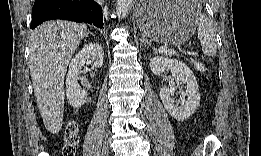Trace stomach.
<instances>
[{
    "mask_svg": "<svg viewBox=\"0 0 261 156\" xmlns=\"http://www.w3.org/2000/svg\"><path fill=\"white\" fill-rule=\"evenodd\" d=\"M199 15L200 8L194 2L144 1L135 10L137 24L148 39L171 45L192 37Z\"/></svg>",
    "mask_w": 261,
    "mask_h": 156,
    "instance_id": "0dacf381",
    "label": "stomach"
}]
</instances>
